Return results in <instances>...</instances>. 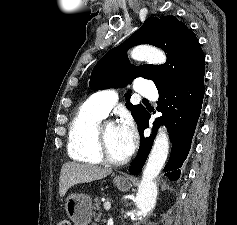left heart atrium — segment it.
Wrapping results in <instances>:
<instances>
[{
    "instance_id": "left-heart-atrium-1",
    "label": "left heart atrium",
    "mask_w": 237,
    "mask_h": 225,
    "mask_svg": "<svg viewBox=\"0 0 237 225\" xmlns=\"http://www.w3.org/2000/svg\"><path fill=\"white\" fill-rule=\"evenodd\" d=\"M117 131L122 152L125 157H128L133 153L137 141V133L133 120L130 117H125L117 126Z\"/></svg>"
}]
</instances>
